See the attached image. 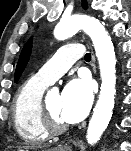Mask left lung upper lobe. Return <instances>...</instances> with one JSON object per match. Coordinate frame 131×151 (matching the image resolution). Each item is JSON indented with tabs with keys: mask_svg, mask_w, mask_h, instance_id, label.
<instances>
[{
	"mask_svg": "<svg viewBox=\"0 0 131 151\" xmlns=\"http://www.w3.org/2000/svg\"><path fill=\"white\" fill-rule=\"evenodd\" d=\"M83 7H86V1H83ZM31 48H32V38H30L27 43L25 44V46L22 49V52L20 54L18 63H17V67H16V71H15V82L18 81L19 77L21 76L22 72L24 71L28 61H29V57L31 54Z\"/></svg>",
	"mask_w": 131,
	"mask_h": 151,
	"instance_id": "left-lung-upper-lobe-1",
	"label": "left lung upper lobe"
}]
</instances>
